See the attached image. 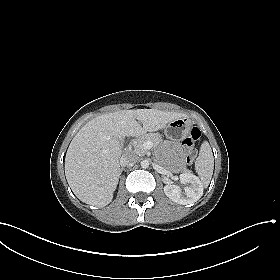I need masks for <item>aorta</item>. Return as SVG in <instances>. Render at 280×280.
I'll return each instance as SVG.
<instances>
[{
  "instance_id": "762f6f07",
  "label": "aorta",
  "mask_w": 280,
  "mask_h": 280,
  "mask_svg": "<svg viewBox=\"0 0 280 280\" xmlns=\"http://www.w3.org/2000/svg\"><path fill=\"white\" fill-rule=\"evenodd\" d=\"M141 167L144 168V169L148 168L149 167V161L146 160V159L142 160L141 161Z\"/></svg>"
}]
</instances>
